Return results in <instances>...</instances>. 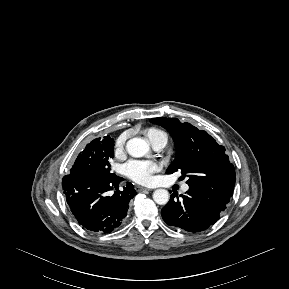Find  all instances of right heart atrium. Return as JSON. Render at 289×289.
I'll list each match as a JSON object with an SVG mask.
<instances>
[{"label": "right heart atrium", "instance_id": "d8ad5b80", "mask_svg": "<svg viewBox=\"0 0 289 289\" xmlns=\"http://www.w3.org/2000/svg\"><path fill=\"white\" fill-rule=\"evenodd\" d=\"M125 141H126V134H122L118 137V139L116 140V143H115V148L117 151H120L123 149V147L125 145Z\"/></svg>", "mask_w": 289, "mask_h": 289}]
</instances>
